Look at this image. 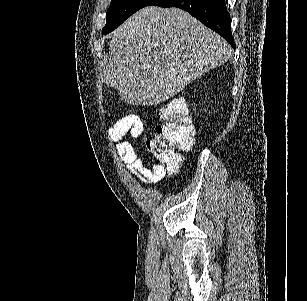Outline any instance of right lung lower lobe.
Returning <instances> with one entry per match:
<instances>
[{
	"mask_svg": "<svg viewBox=\"0 0 307 301\" xmlns=\"http://www.w3.org/2000/svg\"><path fill=\"white\" fill-rule=\"evenodd\" d=\"M225 0H156L151 5L178 7L189 12L201 23L220 34L234 47L231 34L230 14Z\"/></svg>",
	"mask_w": 307,
	"mask_h": 301,
	"instance_id": "right-lung-lower-lobe-1",
	"label": "right lung lower lobe"
}]
</instances>
